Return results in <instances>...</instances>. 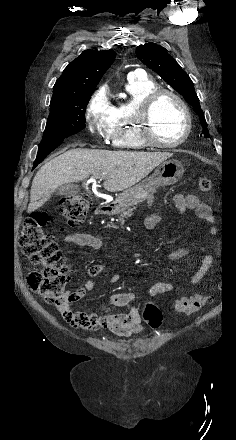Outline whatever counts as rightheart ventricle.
<instances>
[{
    "label": "right heart ventricle",
    "instance_id": "right-heart-ventricle-1",
    "mask_svg": "<svg viewBox=\"0 0 236 440\" xmlns=\"http://www.w3.org/2000/svg\"><path fill=\"white\" fill-rule=\"evenodd\" d=\"M155 88V81L149 77L136 74L128 77L126 90L131 95V100L113 106L110 140L115 147L128 149L147 147L139 134L135 114L143 98Z\"/></svg>",
    "mask_w": 236,
    "mask_h": 440
}]
</instances>
